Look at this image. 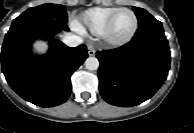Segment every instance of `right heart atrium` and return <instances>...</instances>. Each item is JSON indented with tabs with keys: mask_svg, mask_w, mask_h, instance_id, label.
Wrapping results in <instances>:
<instances>
[{
	"mask_svg": "<svg viewBox=\"0 0 194 133\" xmlns=\"http://www.w3.org/2000/svg\"><path fill=\"white\" fill-rule=\"evenodd\" d=\"M71 27L73 28V30H75L78 33H83L84 32V28L81 25V23L77 20H73L71 22Z\"/></svg>",
	"mask_w": 194,
	"mask_h": 133,
	"instance_id": "1",
	"label": "right heart atrium"
}]
</instances>
